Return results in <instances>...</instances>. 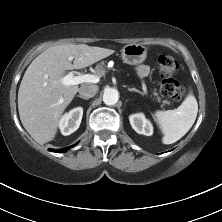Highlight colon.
I'll return each instance as SVG.
<instances>
[{
    "label": "colon",
    "mask_w": 222,
    "mask_h": 222,
    "mask_svg": "<svg viewBox=\"0 0 222 222\" xmlns=\"http://www.w3.org/2000/svg\"><path fill=\"white\" fill-rule=\"evenodd\" d=\"M157 64L163 79L160 84L162 96L174 101H180L184 97L185 90L172 76L179 70V63L170 55L162 54L157 59Z\"/></svg>",
    "instance_id": "colon-1"
}]
</instances>
